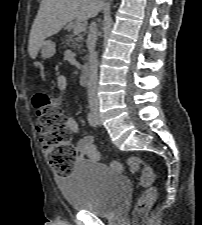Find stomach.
I'll return each mask as SVG.
<instances>
[{
  "mask_svg": "<svg viewBox=\"0 0 202 225\" xmlns=\"http://www.w3.org/2000/svg\"><path fill=\"white\" fill-rule=\"evenodd\" d=\"M56 52V45L54 42L47 40L41 46V56L43 59L51 58Z\"/></svg>",
  "mask_w": 202,
  "mask_h": 225,
  "instance_id": "0dacf381",
  "label": "stomach"
}]
</instances>
